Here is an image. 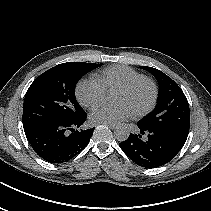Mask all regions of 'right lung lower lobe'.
<instances>
[{
    "mask_svg": "<svg viewBox=\"0 0 211 211\" xmlns=\"http://www.w3.org/2000/svg\"><path fill=\"white\" fill-rule=\"evenodd\" d=\"M87 114L66 122H44L26 125L24 131L33 150L49 163L67 162L89 143L94 128L78 130Z\"/></svg>",
    "mask_w": 211,
    "mask_h": 211,
    "instance_id": "obj_1",
    "label": "right lung lower lobe"
}]
</instances>
